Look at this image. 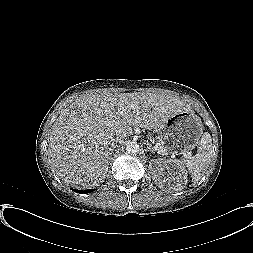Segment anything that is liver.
<instances>
[{"instance_id": "6515ba94", "label": "liver", "mask_w": 253, "mask_h": 253, "mask_svg": "<svg viewBox=\"0 0 253 253\" xmlns=\"http://www.w3.org/2000/svg\"><path fill=\"white\" fill-rule=\"evenodd\" d=\"M192 111L180 97L155 92L86 94L64 109L51 128L48 158L65 183L83 188L104 182L113 139L132 127L158 129L174 114Z\"/></svg>"}]
</instances>
